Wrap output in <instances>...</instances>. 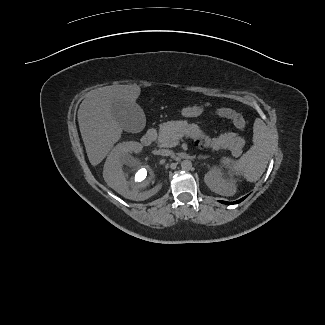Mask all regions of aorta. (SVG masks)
Wrapping results in <instances>:
<instances>
[{
  "mask_svg": "<svg viewBox=\"0 0 325 325\" xmlns=\"http://www.w3.org/2000/svg\"><path fill=\"white\" fill-rule=\"evenodd\" d=\"M191 167H192V162L190 160H183V161H181V168L183 170L188 171V170L191 169Z\"/></svg>",
  "mask_w": 325,
  "mask_h": 325,
  "instance_id": "obj_1",
  "label": "aorta"
}]
</instances>
